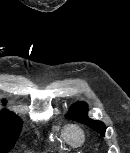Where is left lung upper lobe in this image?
<instances>
[{
  "label": "left lung upper lobe",
  "mask_w": 130,
  "mask_h": 153,
  "mask_svg": "<svg viewBox=\"0 0 130 153\" xmlns=\"http://www.w3.org/2000/svg\"><path fill=\"white\" fill-rule=\"evenodd\" d=\"M87 110L88 108L85 103H77L70 108V111L66 117L68 119L83 123L104 136L106 130L104 123L90 119L87 116Z\"/></svg>",
  "instance_id": "obj_1"
}]
</instances>
